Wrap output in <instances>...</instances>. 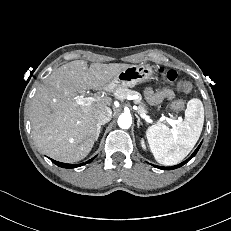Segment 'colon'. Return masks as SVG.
<instances>
[{
    "instance_id": "obj_1",
    "label": "colon",
    "mask_w": 231,
    "mask_h": 231,
    "mask_svg": "<svg viewBox=\"0 0 231 231\" xmlns=\"http://www.w3.org/2000/svg\"><path fill=\"white\" fill-rule=\"evenodd\" d=\"M158 72L165 77L168 83L174 85L180 92H189L192 85L189 81L178 80V74L175 70H165L164 68H158ZM184 101L177 99L171 104V109L174 112H179L184 108Z\"/></svg>"
}]
</instances>
